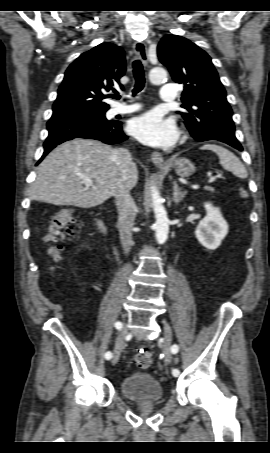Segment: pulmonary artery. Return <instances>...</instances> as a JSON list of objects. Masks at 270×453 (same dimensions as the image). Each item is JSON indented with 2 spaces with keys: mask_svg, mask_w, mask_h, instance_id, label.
Here are the masks:
<instances>
[{
  "mask_svg": "<svg viewBox=\"0 0 270 453\" xmlns=\"http://www.w3.org/2000/svg\"><path fill=\"white\" fill-rule=\"evenodd\" d=\"M177 96V88L174 84H167L161 87L160 97L164 101H174ZM138 109V106H127L121 107L116 110V113L125 114L134 112Z\"/></svg>",
  "mask_w": 270,
  "mask_h": 453,
  "instance_id": "obj_1",
  "label": "pulmonary artery"
}]
</instances>
